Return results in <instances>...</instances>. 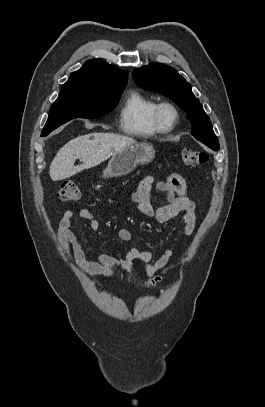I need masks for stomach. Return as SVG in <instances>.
I'll return each instance as SVG.
<instances>
[{
	"mask_svg": "<svg viewBox=\"0 0 265 407\" xmlns=\"http://www.w3.org/2000/svg\"><path fill=\"white\" fill-rule=\"evenodd\" d=\"M155 151L148 143H135L112 155L108 166L103 170V177H120L129 174L138 164L153 160Z\"/></svg>",
	"mask_w": 265,
	"mask_h": 407,
	"instance_id": "1",
	"label": "stomach"
}]
</instances>
